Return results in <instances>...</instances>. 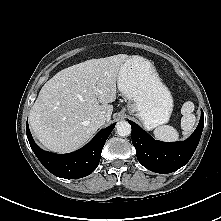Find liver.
<instances>
[{"label":"liver","instance_id":"1","mask_svg":"<svg viewBox=\"0 0 221 221\" xmlns=\"http://www.w3.org/2000/svg\"><path fill=\"white\" fill-rule=\"evenodd\" d=\"M128 57L87 60L59 71L44 84L29 113L30 127L44 147L72 152L104 125L96 122L99 115L110 121L117 76Z\"/></svg>","mask_w":221,"mask_h":221}]
</instances>
